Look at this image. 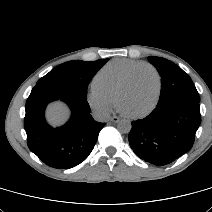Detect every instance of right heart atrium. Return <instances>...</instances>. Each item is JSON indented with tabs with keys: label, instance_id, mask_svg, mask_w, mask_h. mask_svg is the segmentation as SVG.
<instances>
[{
	"label": "right heart atrium",
	"instance_id": "1",
	"mask_svg": "<svg viewBox=\"0 0 212 212\" xmlns=\"http://www.w3.org/2000/svg\"><path fill=\"white\" fill-rule=\"evenodd\" d=\"M88 105L100 114H107L114 106V98L93 85L87 94Z\"/></svg>",
	"mask_w": 212,
	"mask_h": 212
}]
</instances>
